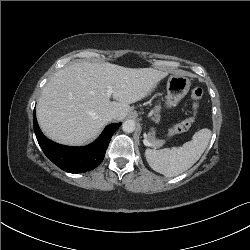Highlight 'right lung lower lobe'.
<instances>
[{"instance_id":"right-lung-lower-lobe-1","label":"right lung lower lobe","mask_w":250,"mask_h":250,"mask_svg":"<svg viewBox=\"0 0 250 250\" xmlns=\"http://www.w3.org/2000/svg\"><path fill=\"white\" fill-rule=\"evenodd\" d=\"M120 125H108L100 137L88 146L69 147L46 138L38 126L35 112L33 116L34 132L43 152L55 165L69 173H83L96 168L103 161L111 137Z\"/></svg>"}]
</instances>
